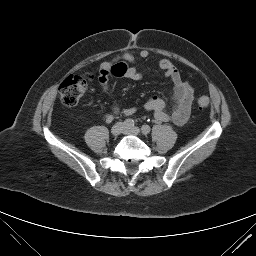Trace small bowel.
<instances>
[{
    "label": "small bowel",
    "instance_id": "c3829d8e",
    "mask_svg": "<svg viewBox=\"0 0 256 256\" xmlns=\"http://www.w3.org/2000/svg\"><path fill=\"white\" fill-rule=\"evenodd\" d=\"M148 56L149 52L147 50L140 51L138 55L140 59H147ZM136 59L137 57L133 54L124 53L111 61H104L100 64L99 81L106 93L112 94L109 86L111 77H125L134 81H139L143 78V74L136 67L131 66ZM158 67L173 84V111L171 113L167 112L164 100L158 96L148 98L144 102L143 108L151 112L158 122H171L177 126H182L186 124L191 117L194 101L193 87L182 77L179 70L169 60H160ZM136 111L137 109L135 107H128L123 109L122 113L129 116L133 115ZM113 112L117 114L120 110L115 106Z\"/></svg>",
    "mask_w": 256,
    "mask_h": 256
}]
</instances>
